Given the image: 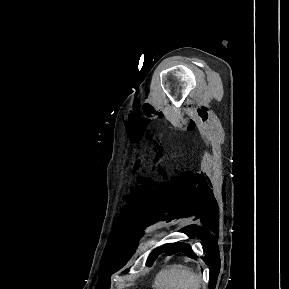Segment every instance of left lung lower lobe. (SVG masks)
<instances>
[{
  "instance_id": "1",
  "label": "left lung lower lobe",
  "mask_w": 289,
  "mask_h": 289,
  "mask_svg": "<svg viewBox=\"0 0 289 289\" xmlns=\"http://www.w3.org/2000/svg\"><path fill=\"white\" fill-rule=\"evenodd\" d=\"M181 246H186V244H170V245H167L163 248V250L161 251L162 252H167L168 254H173V253H176L178 251H181L182 248Z\"/></svg>"
}]
</instances>
